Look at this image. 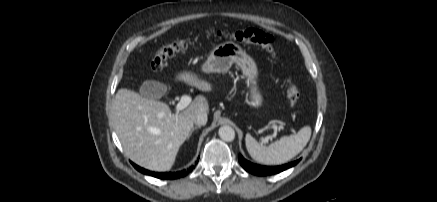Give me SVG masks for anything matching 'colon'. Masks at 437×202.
Instances as JSON below:
<instances>
[{
	"label": "colon",
	"instance_id": "obj_1",
	"mask_svg": "<svg viewBox=\"0 0 437 202\" xmlns=\"http://www.w3.org/2000/svg\"><path fill=\"white\" fill-rule=\"evenodd\" d=\"M214 36L217 38H226L238 43L258 45L272 56H276L277 53L273 36L262 30L246 28L229 33L217 32ZM190 44L191 42L185 39L174 40L164 44L151 59L150 65L152 70H162L168 59L187 49ZM286 96L291 105H296L299 102L300 91L292 80L288 81Z\"/></svg>",
	"mask_w": 437,
	"mask_h": 202
}]
</instances>
